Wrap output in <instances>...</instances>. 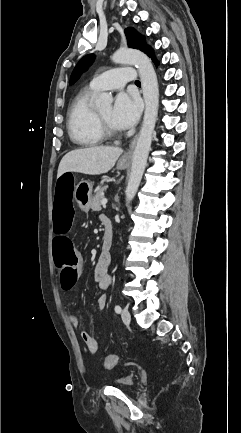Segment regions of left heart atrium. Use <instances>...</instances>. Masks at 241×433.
Returning <instances> with one entry per match:
<instances>
[{
	"mask_svg": "<svg viewBox=\"0 0 241 433\" xmlns=\"http://www.w3.org/2000/svg\"><path fill=\"white\" fill-rule=\"evenodd\" d=\"M141 104L137 97L120 93L115 98L111 121L118 130L131 128L138 121Z\"/></svg>",
	"mask_w": 241,
	"mask_h": 433,
	"instance_id": "1",
	"label": "left heart atrium"
}]
</instances>
